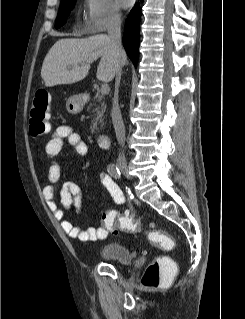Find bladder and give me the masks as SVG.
Instances as JSON below:
<instances>
[{
  "label": "bladder",
  "instance_id": "1",
  "mask_svg": "<svg viewBox=\"0 0 245 319\" xmlns=\"http://www.w3.org/2000/svg\"><path fill=\"white\" fill-rule=\"evenodd\" d=\"M102 261H113L128 265L133 261V253L129 246L123 242L111 241L104 244L97 252Z\"/></svg>",
  "mask_w": 245,
  "mask_h": 319
}]
</instances>
